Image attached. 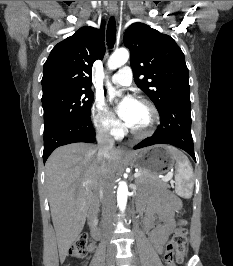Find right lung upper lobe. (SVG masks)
Returning <instances> with one entry per match:
<instances>
[{"label": "right lung upper lobe", "instance_id": "obj_1", "mask_svg": "<svg viewBox=\"0 0 233 266\" xmlns=\"http://www.w3.org/2000/svg\"><path fill=\"white\" fill-rule=\"evenodd\" d=\"M105 54L104 22L101 29L82 27L58 43L44 64L43 95L91 86L92 65Z\"/></svg>", "mask_w": 233, "mask_h": 266}]
</instances>
